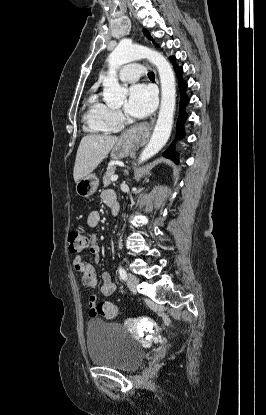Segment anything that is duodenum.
<instances>
[{
    "label": "duodenum",
    "instance_id": "410a0bca",
    "mask_svg": "<svg viewBox=\"0 0 266 415\" xmlns=\"http://www.w3.org/2000/svg\"><path fill=\"white\" fill-rule=\"evenodd\" d=\"M110 207H111V208H112V210L114 211V207H113L112 205H111Z\"/></svg>",
    "mask_w": 266,
    "mask_h": 415
}]
</instances>
